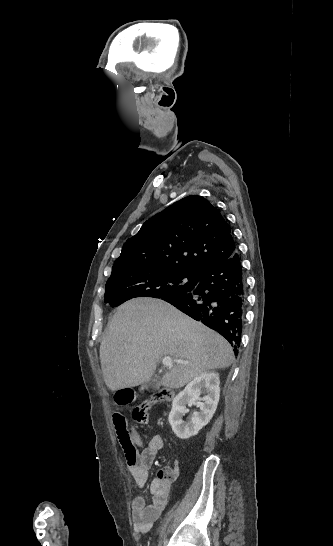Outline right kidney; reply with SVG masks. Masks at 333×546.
<instances>
[{
	"mask_svg": "<svg viewBox=\"0 0 333 546\" xmlns=\"http://www.w3.org/2000/svg\"><path fill=\"white\" fill-rule=\"evenodd\" d=\"M219 374L217 372H204L195 377L174 398L169 414V423L173 432L180 439H188L195 436L211 420L219 402L220 388ZM206 395L200 405V411L194 412L189 421H184L183 416L189 411L187 406L200 400V393Z\"/></svg>",
	"mask_w": 333,
	"mask_h": 546,
	"instance_id": "right-kidney-1",
	"label": "right kidney"
}]
</instances>
